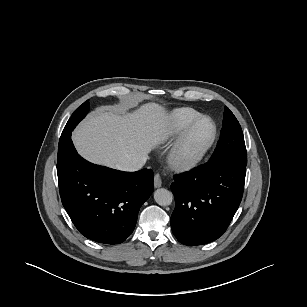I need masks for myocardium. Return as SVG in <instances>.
<instances>
[{
	"instance_id": "1",
	"label": "myocardium",
	"mask_w": 307,
	"mask_h": 307,
	"mask_svg": "<svg viewBox=\"0 0 307 307\" xmlns=\"http://www.w3.org/2000/svg\"><path fill=\"white\" fill-rule=\"evenodd\" d=\"M203 120H209L213 126V134L209 142L196 154L191 156H184L183 150L185 145L193 131V129ZM218 136V127L216 122L209 116L201 115L193 120L180 134L178 139L173 144L168 153V162L170 166L179 171H185L197 166L207 155L210 149L213 147Z\"/></svg>"
}]
</instances>
